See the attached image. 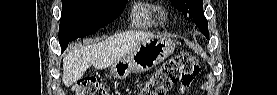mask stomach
Returning a JSON list of instances; mask_svg holds the SVG:
<instances>
[{
	"mask_svg": "<svg viewBox=\"0 0 277 95\" xmlns=\"http://www.w3.org/2000/svg\"><path fill=\"white\" fill-rule=\"evenodd\" d=\"M174 49L175 43L170 38H148L114 63L110 72L114 78L125 79L131 73L148 71L171 55Z\"/></svg>",
	"mask_w": 277,
	"mask_h": 95,
	"instance_id": "1",
	"label": "stomach"
}]
</instances>
